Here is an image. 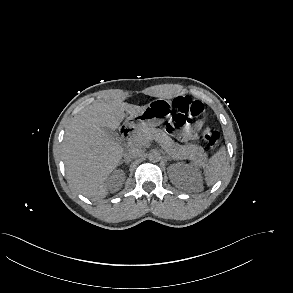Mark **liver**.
Wrapping results in <instances>:
<instances>
[{"instance_id":"6515ba94","label":"liver","mask_w":293,"mask_h":293,"mask_svg":"<svg viewBox=\"0 0 293 293\" xmlns=\"http://www.w3.org/2000/svg\"><path fill=\"white\" fill-rule=\"evenodd\" d=\"M146 106L120 100L95 102L80 111L66 129L62 151L70 185L90 199L108 194L105 180L120 164L124 148L103 128L116 130L128 114H140Z\"/></svg>"}]
</instances>
